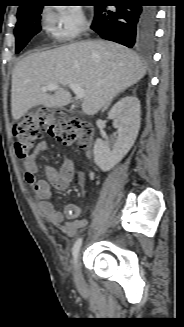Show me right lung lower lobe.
<instances>
[{
  "instance_id": "1",
  "label": "right lung lower lobe",
  "mask_w": 184,
  "mask_h": 327,
  "mask_svg": "<svg viewBox=\"0 0 184 327\" xmlns=\"http://www.w3.org/2000/svg\"><path fill=\"white\" fill-rule=\"evenodd\" d=\"M126 3L116 6L115 12L107 6H95L91 28L102 38L129 48L150 46L155 34V9L141 6L139 0H128Z\"/></svg>"
}]
</instances>
